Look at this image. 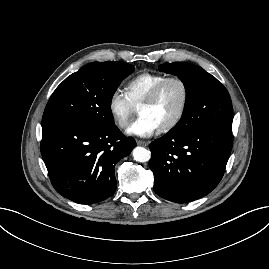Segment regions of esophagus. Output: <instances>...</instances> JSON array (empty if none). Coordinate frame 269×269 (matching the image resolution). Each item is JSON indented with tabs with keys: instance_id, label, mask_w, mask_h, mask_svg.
Returning <instances> with one entry per match:
<instances>
[{
	"instance_id": "1",
	"label": "esophagus",
	"mask_w": 269,
	"mask_h": 269,
	"mask_svg": "<svg viewBox=\"0 0 269 269\" xmlns=\"http://www.w3.org/2000/svg\"><path fill=\"white\" fill-rule=\"evenodd\" d=\"M136 142H137L138 145H141V146H147L148 145L147 141L137 140Z\"/></svg>"
}]
</instances>
